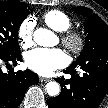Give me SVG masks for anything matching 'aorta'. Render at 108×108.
<instances>
[{"label":"aorta","mask_w":108,"mask_h":108,"mask_svg":"<svg viewBox=\"0 0 108 108\" xmlns=\"http://www.w3.org/2000/svg\"><path fill=\"white\" fill-rule=\"evenodd\" d=\"M33 39L36 44L43 47H49L54 45L56 35L48 29L37 28L34 31ZM46 90L50 96H57L60 93V85L55 81L49 82L46 85Z\"/></svg>","instance_id":"1"}]
</instances>
